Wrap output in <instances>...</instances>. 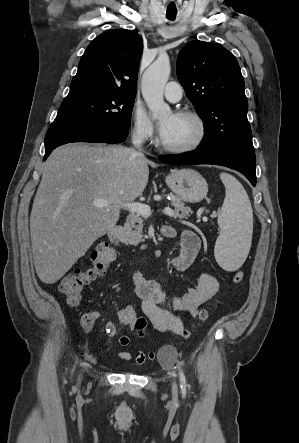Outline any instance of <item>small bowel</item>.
<instances>
[{
  "instance_id": "c3829d8e",
  "label": "small bowel",
  "mask_w": 299,
  "mask_h": 443,
  "mask_svg": "<svg viewBox=\"0 0 299 443\" xmlns=\"http://www.w3.org/2000/svg\"><path fill=\"white\" fill-rule=\"evenodd\" d=\"M162 234L166 238H173L176 234L172 226H164ZM200 248V239L192 230H185L182 234L181 248L177 256L171 259V267L175 271H185L195 262ZM133 282L135 292L141 300V318L143 325L136 336L143 338L145 336V328L147 322L150 323L154 330L159 332H167L171 334H180L184 329L182 315L188 317H196L200 307L207 301L212 299L219 292V282L209 274H201L198 284L189 288L182 294H168L161 285L155 280L148 279L140 270H134ZM91 324L101 314L97 311L86 314ZM106 334L110 337L117 335V326L114 322H107L105 325ZM119 343L124 350L119 352V357L123 360H134L137 364L142 365L147 360H154L156 353L152 350L137 351L131 350L130 338L127 335L119 337ZM89 359H93L92 352H86Z\"/></svg>"
}]
</instances>
